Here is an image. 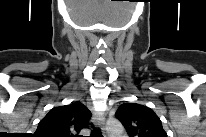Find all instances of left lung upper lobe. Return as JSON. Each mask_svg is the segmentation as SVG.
<instances>
[{
    "label": "left lung upper lobe",
    "mask_w": 206,
    "mask_h": 137,
    "mask_svg": "<svg viewBox=\"0 0 206 137\" xmlns=\"http://www.w3.org/2000/svg\"><path fill=\"white\" fill-rule=\"evenodd\" d=\"M130 137H167L156 113L140 104L124 103L115 113Z\"/></svg>",
    "instance_id": "left-lung-upper-lobe-1"
}]
</instances>
